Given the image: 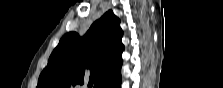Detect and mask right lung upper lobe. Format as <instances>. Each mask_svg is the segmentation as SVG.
<instances>
[{
	"mask_svg": "<svg viewBox=\"0 0 223 88\" xmlns=\"http://www.w3.org/2000/svg\"><path fill=\"white\" fill-rule=\"evenodd\" d=\"M120 20L109 10L80 38L71 32L63 36L42 71L37 88H70L94 81L95 88H109L121 81Z\"/></svg>",
	"mask_w": 223,
	"mask_h": 88,
	"instance_id": "right-lung-upper-lobe-1",
	"label": "right lung upper lobe"
}]
</instances>
